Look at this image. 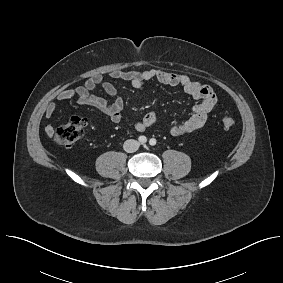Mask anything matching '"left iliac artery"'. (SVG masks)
I'll return each instance as SVG.
<instances>
[{
	"label": "left iliac artery",
	"instance_id": "44dca946",
	"mask_svg": "<svg viewBox=\"0 0 283 283\" xmlns=\"http://www.w3.org/2000/svg\"><path fill=\"white\" fill-rule=\"evenodd\" d=\"M149 144L151 146H154L156 144V139H154V138L150 139Z\"/></svg>",
	"mask_w": 283,
	"mask_h": 283
}]
</instances>
